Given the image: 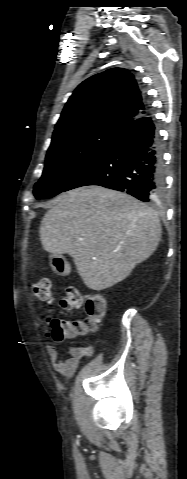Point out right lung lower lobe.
Returning <instances> with one entry per match:
<instances>
[{
  "mask_svg": "<svg viewBox=\"0 0 187 479\" xmlns=\"http://www.w3.org/2000/svg\"><path fill=\"white\" fill-rule=\"evenodd\" d=\"M99 185L124 191L144 202L160 199L165 191L161 141L149 113L137 118L63 191Z\"/></svg>",
  "mask_w": 187,
  "mask_h": 479,
  "instance_id": "98d812e1",
  "label": "right lung lower lobe"
}]
</instances>
